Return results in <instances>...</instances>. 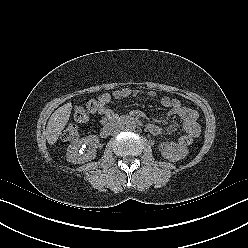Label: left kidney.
Wrapping results in <instances>:
<instances>
[{
    "label": "left kidney",
    "instance_id": "5707ae66",
    "mask_svg": "<svg viewBox=\"0 0 248 248\" xmlns=\"http://www.w3.org/2000/svg\"><path fill=\"white\" fill-rule=\"evenodd\" d=\"M159 149L161 155L172 162L185 158L189 153L186 147L180 146L175 142H163L160 144Z\"/></svg>",
    "mask_w": 248,
    "mask_h": 248
}]
</instances>
